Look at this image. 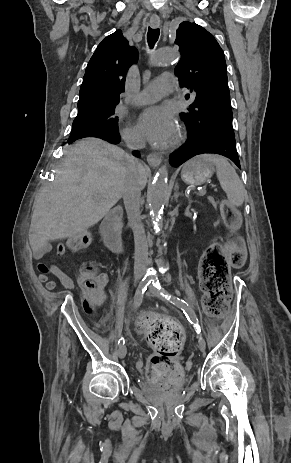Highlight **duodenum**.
<instances>
[{"instance_id": "410a0bca", "label": "duodenum", "mask_w": 291, "mask_h": 463, "mask_svg": "<svg viewBox=\"0 0 291 463\" xmlns=\"http://www.w3.org/2000/svg\"><path fill=\"white\" fill-rule=\"evenodd\" d=\"M123 206L118 204L103 219L100 225L101 237L106 246L116 254H122L126 250L125 242L122 240L117 223L122 216Z\"/></svg>"}]
</instances>
